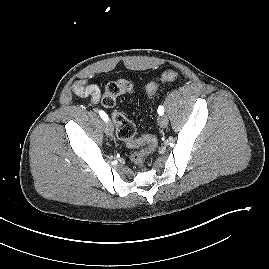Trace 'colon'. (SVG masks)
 I'll use <instances>...</instances> for the list:
<instances>
[{"mask_svg": "<svg viewBox=\"0 0 269 269\" xmlns=\"http://www.w3.org/2000/svg\"><path fill=\"white\" fill-rule=\"evenodd\" d=\"M178 78V73L174 70L164 71L161 75L160 82H171ZM159 82H150L146 87L149 97H152L159 87ZM132 90V84L126 80L112 81L107 84L101 103L106 108L115 106L117 98ZM112 120L116 127L118 137L125 142L130 148L145 146L144 149L131 152L130 159L137 167H143L146 163V156L156 146L155 137L148 135L141 138H135V125L122 113L116 112L112 115Z\"/></svg>", "mask_w": 269, "mask_h": 269, "instance_id": "5ec220e1", "label": "colon"}]
</instances>
